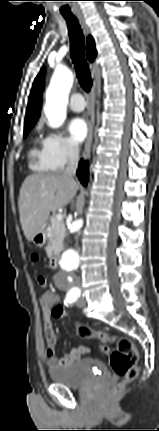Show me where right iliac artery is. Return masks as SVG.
<instances>
[{"label":"right iliac artery","instance_id":"obj_1","mask_svg":"<svg viewBox=\"0 0 159 431\" xmlns=\"http://www.w3.org/2000/svg\"><path fill=\"white\" fill-rule=\"evenodd\" d=\"M79 294H80L79 289H77V288L71 289L66 295L65 304L74 303L76 301V299L78 298Z\"/></svg>","mask_w":159,"mask_h":431}]
</instances>
